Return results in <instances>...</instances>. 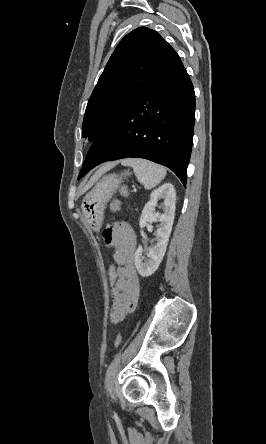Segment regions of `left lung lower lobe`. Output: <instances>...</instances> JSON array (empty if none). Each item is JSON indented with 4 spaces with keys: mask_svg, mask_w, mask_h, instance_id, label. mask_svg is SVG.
Segmentation results:
<instances>
[{
    "mask_svg": "<svg viewBox=\"0 0 266 444\" xmlns=\"http://www.w3.org/2000/svg\"><path fill=\"white\" fill-rule=\"evenodd\" d=\"M194 115V88L181 62L101 133L80 174L105 161L145 158L171 169L185 186Z\"/></svg>",
    "mask_w": 266,
    "mask_h": 444,
    "instance_id": "0a47b994",
    "label": "left lung lower lobe"
}]
</instances>
